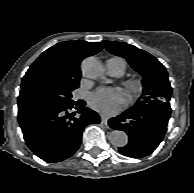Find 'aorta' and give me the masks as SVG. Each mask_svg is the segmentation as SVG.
Segmentation results:
<instances>
[{
	"label": "aorta",
	"instance_id": "1",
	"mask_svg": "<svg viewBox=\"0 0 194 193\" xmlns=\"http://www.w3.org/2000/svg\"><path fill=\"white\" fill-rule=\"evenodd\" d=\"M81 68L84 76L90 79L101 78L105 71L101 62L93 56L85 58ZM109 141L115 147H124L128 143V136L124 131L114 130L109 135Z\"/></svg>",
	"mask_w": 194,
	"mask_h": 193
}]
</instances>
